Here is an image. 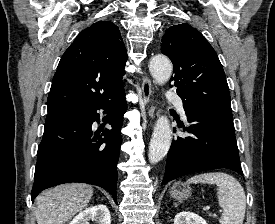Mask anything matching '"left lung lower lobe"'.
<instances>
[{"instance_id":"1","label":"left lung lower lobe","mask_w":275,"mask_h":224,"mask_svg":"<svg viewBox=\"0 0 275 224\" xmlns=\"http://www.w3.org/2000/svg\"><path fill=\"white\" fill-rule=\"evenodd\" d=\"M191 135L173 139L162 184L204 170L227 168L243 174L233 118L206 111H191L184 104Z\"/></svg>"}]
</instances>
